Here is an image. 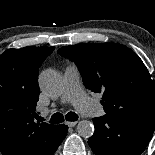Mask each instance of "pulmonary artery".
Returning <instances> with one entry per match:
<instances>
[{"mask_svg":"<svg viewBox=\"0 0 155 155\" xmlns=\"http://www.w3.org/2000/svg\"><path fill=\"white\" fill-rule=\"evenodd\" d=\"M62 101L71 102L80 113L87 117L93 118L102 114L100 106L84 92L80 72L73 64L68 65L64 71Z\"/></svg>","mask_w":155,"mask_h":155,"instance_id":"obj_1","label":"pulmonary artery"}]
</instances>
